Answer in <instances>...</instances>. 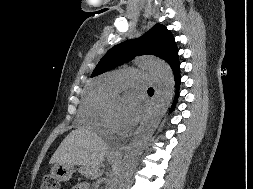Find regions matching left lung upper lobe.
Segmentation results:
<instances>
[{
  "mask_svg": "<svg viewBox=\"0 0 253 189\" xmlns=\"http://www.w3.org/2000/svg\"><path fill=\"white\" fill-rule=\"evenodd\" d=\"M145 54L165 60L172 69L179 64L178 49L173 35L164 25L156 24L140 38L112 47L99 61L91 77L126 63L137 55Z\"/></svg>",
  "mask_w": 253,
  "mask_h": 189,
  "instance_id": "1",
  "label": "left lung upper lobe"
}]
</instances>
